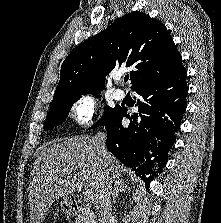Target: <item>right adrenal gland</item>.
Segmentation results:
<instances>
[{
    "label": "right adrenal gland",
    "mask_w": 221,
    "mask_h": 223,
    "mask_svg": "<svg viewBox=\"0 0 221 223\" xmlns=\"http://www.w3.org/2000/svg\"><path fill=\"white\" fill-rule=\"evenodd\" d=\"M113 186L114 187H113L112 198H113V202L116 203L115 199L118 193L125 191L129 187L125 184L122 178H117Z\"/></svg>",
    "instance_id": "right-adrenal-gland-1"
}]
</instances>
